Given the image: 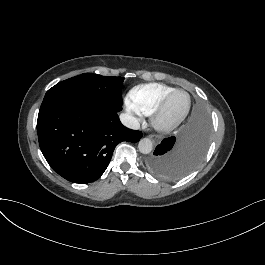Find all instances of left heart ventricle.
<instances>
[{"mask_svg": "<svg viewBox=\"0 0 265 265\" xmlns=\"http://www.w3.org/2000/svg\"><path fill=\"white\" fill-rule=\"evenodd\" d=\"M187 104V98L185 94L178 93L176 94L169 102L166 109V118L167 119H176L178 118L185 110Z\"/></svg>", "mask_w": 265, "mask_h": 265, "instance_id": "left-heart-ventricle-1", "label": "left heart ventricle"}]
</instances>
